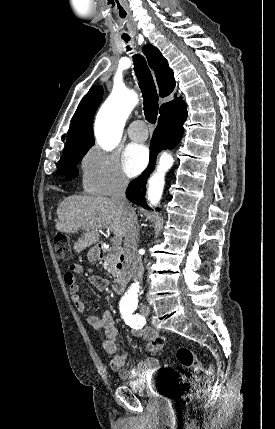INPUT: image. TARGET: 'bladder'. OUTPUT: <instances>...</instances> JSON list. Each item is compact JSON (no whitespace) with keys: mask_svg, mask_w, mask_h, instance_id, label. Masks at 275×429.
<instances>
[{"mask_svg":"<svg viewBox=\"0 0 275 429\" xmlns=\"http://www.w3.org/2000/svg\"><path fill=\"white\" fill-rule=\"evenodd\" d=\"M130 393L148 398V403H179L175 377L130 378Z\"/></svg>","mask_w":275,"mask_h":429,"instance_id":"obj_1","label":"bladder"}]
</instances>
